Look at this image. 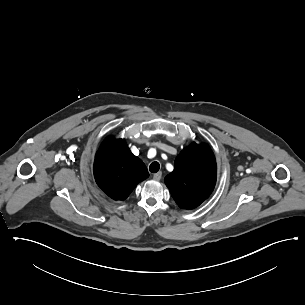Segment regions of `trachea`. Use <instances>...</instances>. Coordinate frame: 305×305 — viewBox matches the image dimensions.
Segmentation results:
<instances>
[{
	"label": "trachea",
	"mask_w": 305,
	"mask_h": 305,
	"mask_svg": "<svg viewBox=\"0 0 305 305\" xmlns=\"http://www.w3.org/2000/svg\"><path fill=\"white\" fill-rule=\"evenodd\" d=\"M160 169V164L158 162H152L149 166V171L151 173H157Z\"/></svg>",
	"instance_id": "3493384b"
}]
</instances>
